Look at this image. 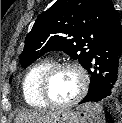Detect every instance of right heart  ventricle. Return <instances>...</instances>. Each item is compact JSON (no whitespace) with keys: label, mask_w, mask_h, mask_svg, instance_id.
<instances>
[{"label":"right heart ventricle","mask_w":122,"mask_h":123,"mask_svg":"<svg viewBox=\"0 0 122 123\" xmlns=\"http://www.w3.org/2000/svg\"><path fill=\"white\" fill-rule=\"evenodd\" d=\"M53 65L51 60H44L35 64L26 74L22 91L28 105L34 108H46L47 104L40 96V83L44 73Z\"/></svg>","instance_id":"right-heart-ventricle-1"}]
</instances>
